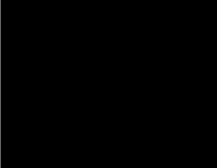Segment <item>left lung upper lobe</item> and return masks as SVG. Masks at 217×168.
<instances>
[{
	"mask_svg": "<svg viewBox=\"0 0 217 168\" xmlns=\"http://www.w3.org/2000/svg\"><path fill=\"white\" fill-rule=\"evenodd\" d=\"M150 64L142 90L158 99L178 102L183 84V67L173 38L159 27L149 29Z\"/></svg>",
	"mask_w": 217,
	"mask_h": 168,
	"instance_id": "5c2ea615",
	"label": "left lung upper lobe"
}]
</instances>
